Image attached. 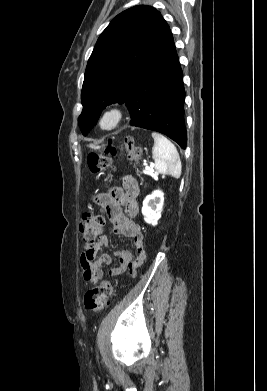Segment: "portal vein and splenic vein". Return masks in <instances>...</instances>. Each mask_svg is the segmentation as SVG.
<instances>
[{"label":"portal vein and splenic vein","mask_w":267,"mask_h":391,"mask_svg":"<svg viewBox=\"0 0 267 391\" xmlns=\"http://www.w3.org/2000/svg\"><path fill=\"white\" fill-rule=\"evenodd\" d=\"M145 165H147V164H145ZM146 169H149V167H148V166H146Z\"/></svg>","instance_id":"obj_1"}]
</instances>
